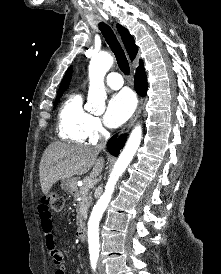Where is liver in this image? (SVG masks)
I'll use <instances>...</instances> for the list:
<instances>
[{
  "mask_svg": "<svg viewBox=\"0 0 221 274\" xmlns=\"http://www.w3.org/2000/svg\"><path fill=\"white\" fill-rule=\"evenodd\" d=\"M100 150L78 144L51 143L43 153L39 165L41 189L47 195L59 180L74 175H84L91 168V178H96L103 170L104 159L98 158Z\"/></svg>",
  "mask_w": 221,
  "mask_h": 274,
  "instance_id": "obj_1",
  "label": "liver"
}]
</instances>
